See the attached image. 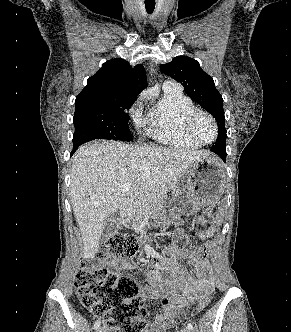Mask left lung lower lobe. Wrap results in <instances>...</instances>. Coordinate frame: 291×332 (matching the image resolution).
<instances>
[{"label": "left lung lower lobe", "mask_w": 291, "mask_h": 332, "mask_svg": "<svg viewBox=\"0 0 291 332\" xmlns=\"http://www.w3.org/2000/svg\"><path fill=\"white\" fill-rule=\"evenodd\" d=\"M211 151L218 154L225 162V160H226V148L225 147H212Z\"/></svg>", "instance_id": "obj_1"}]
</instances>
